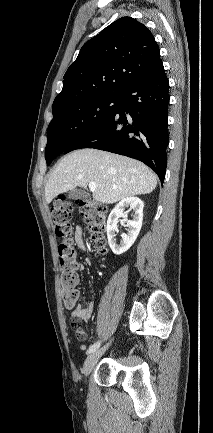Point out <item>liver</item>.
<instances>
[{
	"instance_id": "liver-1",
	"label": "liver",
	"mask_w": 213,
	"mask_h": 433,
	"mask_svg": "<svg viewBox=\"0 0 213 433\" xmlns=\"http://www.w3.org/2000/svg\"><path fill=\"white\" fill-rule=\"evenodd\" d=\"M95 182L94 200L113 204L127 197L151 193L157 176L135 159L97 149H80L66 155L45 186L49 204L58 195Z\"/></svg>"
}]
</instances>
